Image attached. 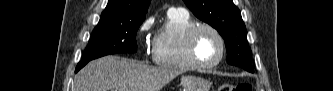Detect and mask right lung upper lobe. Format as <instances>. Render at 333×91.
Listing matches in <instances>:
<instances>
[{"mask_svg": "<svg viewBox=\"0 0 333 91\" xmlns=\"http://www.w3.org/2000/svg\"><path fill=\"white\" fill-rule=\"evenodd\" d=\"M151 0H109L100 18L130 19L145 17Z\"/></svg>", "mask_w": 333, "mask_h": 91, "instance_id": "right-lung-upper-lobe-1", "label": "right lung upper lobe"}]
</instances>
